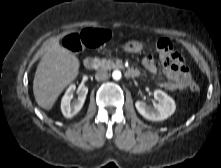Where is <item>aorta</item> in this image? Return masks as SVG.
<instances>
[{
  "mask_svg": "<svg viewBox=\"0 0 221 168\" xmlns=\"http://www.w3.org/2000/svg\"><path fill=\"white\" fill-rule=\"evenodd\" d=\"M112 77L116 81L120 80L121 79V72L119 70L113 71Z\"/></svg>",
  "mask_w": 221,
  "mask_h": 168,
  "instance_id": "762f6f07",
  "label": "aorta"
}]
</instances>
